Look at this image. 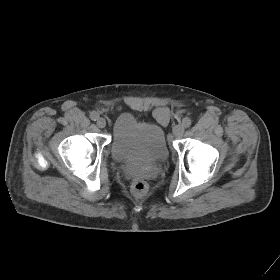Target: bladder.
<instances>
[{
  "label": "bladder",
  "mask_w": 280,
  "mask_h": 280,
  "mask_svg": "<svg viewBox=\"0 0 280 280\" xmlns=\"http://www.w3.org/2000/svg\"><path fill=\"white\" fill-rule=\"evenodd\" d=\"M110 150L118 162L160 163L169 156L163 128L139 121L131 113H122L114 120Z\"/></svg>",
  "instance_id": "bladder-1"
}]
</instances>
